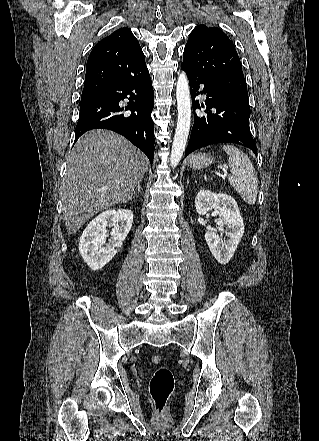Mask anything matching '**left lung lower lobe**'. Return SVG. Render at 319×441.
<instances>
[{
  "label": "left lung lower lobe",
  "instance_id": "0a47b994",
  "mask_svg": "<svg viewBox=\"0 0 319 441\" xmlns=\"http://www.w3.org/2000/svg\"><path fill=\"white\" fill-rule=\"evenodd\" d=\"M181 69L189 79L194 109L200 108L195 97L200 93L207 94L205 105L201 104L202 107H207V115L199 117L194 114V125L185 157L199 148L216 143L239 144L257 154L249 128V103L236 96L223 83L194 71L183 63ZM200 84L204 85L201 92L198 91Z\"/></svg>",
  "mask_w": 319,
  "mask_h": 441
}]
</instances>
